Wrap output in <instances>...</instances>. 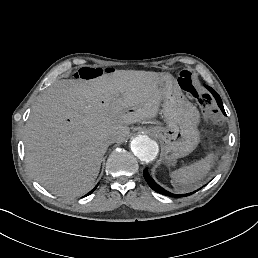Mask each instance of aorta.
<instances>
[{"label":"aorta","instance_id":"1","mask_svg":"<svg viewBox=\"0 0 258 258\" xmlns=\"http://www.w3.org/2000/svg\"><path fill=\"white\" fill-rule=\"evenodd\" d=\"M131 150L134 155L141 161H153L158 152V144L146 135H139L131 141Z\"/></svg>","mask_w":258,"mask_h":258}]
</instances>
